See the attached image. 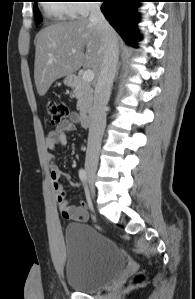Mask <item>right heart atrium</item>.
Listing matches in <instances>:
<instances>
[{
	"instance_id": "obj_1",
	"label": "right heart atrium",
	"mask_w": 195,
	"mask_h": 299,
	"mask_svg": "<svg viewBox=\"0 0 195 299\" xmlns=\"http://www.w3.org/2000/svg\"><path fill=\"white\" fill-rule=\"evenodd\" d=\"M91 2L93 0H74L71 2L73 15L87 16L93 10Z\"/></svg>"
}]
</instances>
